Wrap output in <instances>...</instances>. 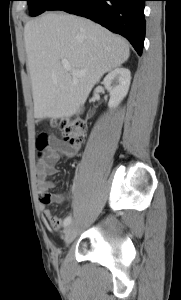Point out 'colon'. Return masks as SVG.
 Here are the masks:
<instances>
[{
	"label": "colon",
	"instance_id": "5ec220e1",
	"mask_svg": "<svg viewBox=\"0 0 181 300\" xmlns=\"http://www.w3.org/2000/svg\"><path fill=\"white\" fill-rule=\"evenodd\" d=\"M55 125L60 127L63 139L71 149L76 150L83 144L86 133L85 124L83 122L78 120H62L55 123ZM36 145L37 148L44 149L49 145V137L40 135Z\"/></svg>",
	"mask_w": 181,
	"mask_h": 300
}]
</instances>
